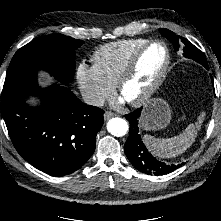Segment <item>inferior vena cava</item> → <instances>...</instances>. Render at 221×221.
<instances>
[{"label":"inferior vena cava","instance_id":"obj_1","mask_svg":"<svg viewBox=\"0 0 221 221\" xmlns=\"http://www.w3.org/2000/svg\"><path fill=\"white\" fill-rule=\"evenodd\" d=\"M83 101L88 105L103 106L104 98L98 93L90 90H85L81 93Z\"/></svg>","mask_w":221,"mask_h":221}]
</instances>
